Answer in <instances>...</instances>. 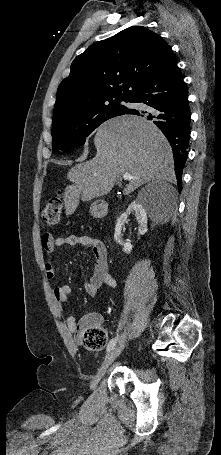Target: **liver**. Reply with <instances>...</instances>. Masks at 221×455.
I'll return each instance as SVG.
<instances>
[{"label": "liver", "mask_w": 221, "mask_h": 455, "mask_svg": "<svg viewBox=\"0 0 221 455\" xmlns=\"http://www.w3.org/2000/svg\"><path fill=\"white\" fill-rule=\"evenodd\" d=\"M94 144L96 156L68 173L73 184L64 191L67 216L74 213L80 199L107 195L126 172L133 179L124 195L153 180H174L172 149L158 127L145 118L123 115L106 121L97 129Z\"/></svg>", "instance_id": "liver-1"}]
</instances>
